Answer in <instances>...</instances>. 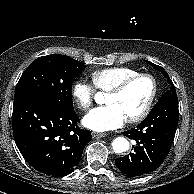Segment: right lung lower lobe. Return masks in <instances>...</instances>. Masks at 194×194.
Instances as JSON below:
<instances>
[{"label": "right lung lower lobe", "mask_w": 194, "mask_h": 194, "mask_svg": "<svg viewBox=\"0 0 194 194\" xmlns=\"http://www.w3.org/2000/svg\"><path fill=\"white\" fill-rule=\"evenodd\" d=\"M73 102H58L43 95L14 99L12 126L16 145L37 171L53 177L71 173L84 147L89 130L79 129Z\"/></svg>", "instance_id": "obj_1"}]
</instances>
